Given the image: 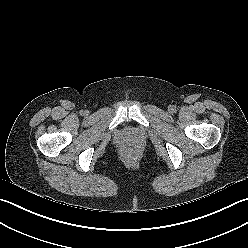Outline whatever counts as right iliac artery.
<instances>
[{"instance_id":"82829eb1","label":"right iliac artery","mask_w":248,"mask_h":248,"mask_svg":"<svg viewBox=\"0 0 248 248\" xmlns=\"http://www.w3.org/2000/svg\"><path fill=\"white\" fill-rule=\"evenodd\" d=\"M85 112L84 111H81V114H84Z\"/></svg>"}]
</instances>
